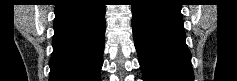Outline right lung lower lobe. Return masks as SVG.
Instances as JSON below:
<instances>
[{
    "instance_id": "1",
    "label": "right lung lower lobe",
    "mask_w": 237,
    "mask_h": 81,
    "mask_svg": "<svg viewBox=\"0 0 237 81\" xmlns=\"http://www.w3.org/2000/svg\"><path fill=\"white\" fill-rule=\"evenodd\" d=\"M105 7L100 0H61L55 5L49 81H99Z\"/></svg>"
}]
</instances>
